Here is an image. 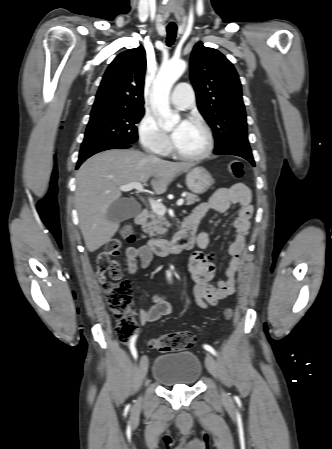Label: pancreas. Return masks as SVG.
Wrapping results in <instances>:
<instances>
[{
	"label": "pancreas",
	"mask_w": 332,
	"mask_h": 449,
	"mask_svg": "<svg viewBox=\"0 0 332 449\" xmlns=\"http://www.w3.org/2000/svg\"><path fill=\"white\" fill-rule=\"evenodd\" d=\"M199 200L200 199L197 195L186 193V205H192ZM148 218H150V221H145L142 223V230L151 237L164 234L167 231V227L170 226L163 215H159L154 211L148 214Z\"/></svg>",
	"instance_id": "1"
}]
</instances>
